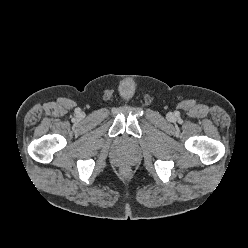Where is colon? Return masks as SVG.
Wrapping results in <instances>:
<instances>
[{"mask_svg": "<svg viewBox=\"0 0 248 248\" xmlns=\"http://www.w3.org/2000/svg\"><path fill=\"white\" fill-rule=\"evenodd\" d=\"M122 174L127 175L128 174V169H126V168L122 169Z\"/></svg>", "mask_w": 248, "mask_h": 248, "instance_id": "1", "label": "colon"}]
</instances>
